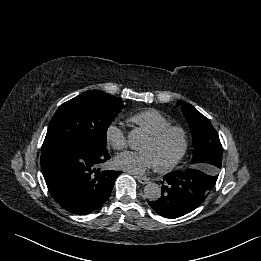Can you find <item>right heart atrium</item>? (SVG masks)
I'll use <instances>...</instances> for the list:
<instances>
[{
  "label": "right heart atrium",
  "instance_id": "d8ad5b80",
  "mask_svg": "<svg viewBox=\"0 0 261 261\" xmlns=\"http://www.w3.org/2000/svg\"><path fill=\"white\" fill-rule=\"evenodd\" d=\"M105 139L108 145L115 150H122L127 146L124 131L117 122H110L105 129Z\"/></svg>",
  "mask_w": 261,
  "mask_h": 261
}]
</instances>
